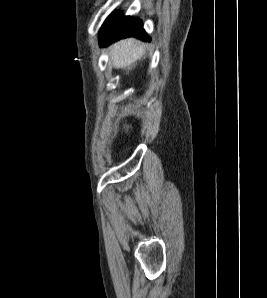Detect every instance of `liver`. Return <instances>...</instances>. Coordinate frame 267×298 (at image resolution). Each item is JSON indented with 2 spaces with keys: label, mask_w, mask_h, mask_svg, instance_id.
<instances>
[{
  "label": "liver",
  "mask_w": 267,
  "mask_h": 298,
  "mask_svg": "<svg viewBox=\"0 0 267 298\" xmlns=\"http://www.w3.org/2000/svg\"><path fill=\"white\" fill-rule=\"evenodd\" d=\"M145 45L134 38L121 40L110 47V61L115 68H125L142 57Z\"/></svg>",
  "instance_id": "liver-1"
}]
</instances>
